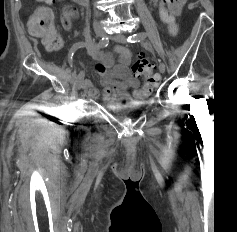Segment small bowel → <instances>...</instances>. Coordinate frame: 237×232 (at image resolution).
<instances>
[{
    "label": "small bowel",
    "instance_id": "1",
    "mask_svg": "<svg viewBox=\"0 0 237 232\" xmlns=\"http://www.w3.org/2000/svg\"><path fill=\"white\" fill-rule=\"evenodd\" d=\"M157 7L160 0H151ZM187 0H169L168 6L177 16L180 14ZM71 6L65 7L61 19L62 27L69 30L72 27L74 18H68L65 10ZM87 51L98 63L95 66V73L100 77L103 87L102 99L105 103H127L132 101L130 91H133V97L141 99L149 94V90L140 87L139 81L134 77L129 69L132 61V52L124 46H115L114 52L118 55V63L115 64L113 57L109 53L97 50L94 44L87 42ZM84 89L90 98H97L99 93L92 81H84Z\"/></svg>",
    "mask_w": 237,
    "mask_h": 232
}]
</instances>
